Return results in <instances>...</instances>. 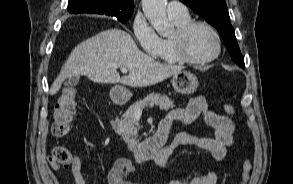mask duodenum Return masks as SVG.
<instances>
[{
    "instance_id": "1",
    "label": "duodenum",
    "mask_w": 293,
    "mask_h": 184,
    "mask_svg": "<svg viewBox=\"0 0 293 184\" xmlns=\"http://www.w3.org/2000/svg\"><path fill=\"white\" fill-rule=\"evenodd\" d=\"M118 104H123L125 99L119 95L115 96ZM170 132V123L161 121L158 130L142 142H128L127 149L137 161H146L156 158L166 148V142Z\"/></svg>"
}]
</instances>
